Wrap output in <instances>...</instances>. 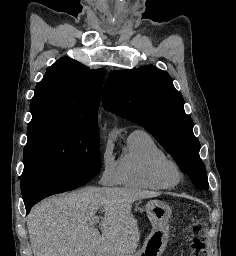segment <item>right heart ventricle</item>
I'll use <instances>...</instances> for the list:
<instances>
[{
  "label": "right heart ventricle",
  "instance_id": "obj_1",
  "mask_svg": "<svg viewBox=\"0 0 236 256\" xmlns=\"http://www.w3.org/2000/svg\"><path fill=\"white\" fill-rule=\"evenodd\" d=\"M168 155L150 134L136 130L128 137V152L120 160L121 184L129 188L164 190L172 187L155 175L156 164Z\"/></svg>",
  "mask_w": 236,
  "mask_h": 256
}]
</instances>
